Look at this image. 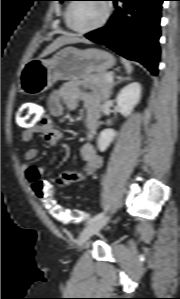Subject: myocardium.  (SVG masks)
Instances as JSON below:
<instances>
[{
	"mask_svg": "<svg viewBox=\"0 0 180 299\" xmlns=\"http://www.w3.org/2000/svg\"><path fill=\"white\" fill-rule=\"evenodd\" d=\"M76 1L77 0H74L70 4L69 10H68V17H67L68 26L72 31H74L75 33H78V34H87V33L97 31V30L103 28L107 24V22L109 21V19L111 17L113 8H112V4L109 0H101L103 2V6H104V15H103L101 21L99 23H97L96 25L89 27V28H85V29H79V28L75 27L72 22V16H73L74 7L77 4Z\"/></svg>",
	"mask_w": 180,
	"mask_h": 299,
	"instance_id": "f54148a6",
	"label": "myocardium"
}]
</instances>
